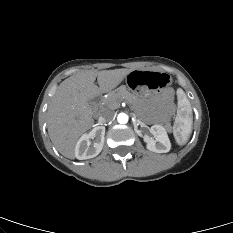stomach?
Segmentation results:
<instances>
[{
  "label": "stomach",
  "instance_id": "stomach-1",
  "mask_svg": "<svg viewBox=\"0 0 233 233\" xmlns=\"http://www.w3.org/2000/svg\"><path fill=\"white\" fill-rule=\"evenodd\" d=\"M168 73L157 70H135L124 78L125 87L136 95L149 96L152 92L161 90L171 84Z\"/></svg>",
  "mask_w": 233,
  "mask_h": 233
}]
</instances>
